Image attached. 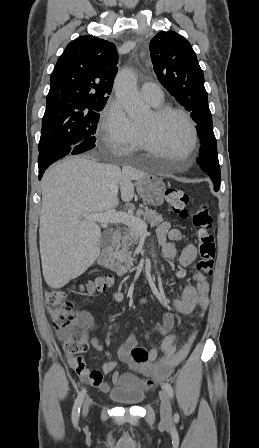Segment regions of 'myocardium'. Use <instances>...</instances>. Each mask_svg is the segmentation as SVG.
<instances>
[{"label": "myocardium", "instance_id": "f54148a6", "mask_svg": "<svg viewBox=\"0 0 259 448\" xmlns=\"http://www.w3.org/2000/svg\"><path fill=\"white\" fill-rule=\"evenodd\" d=\"M170 115H177L181 117L187 124L190 130L191 138L190 143L186 149V158L188 161L194 163L196 158L195 149L198 142V133L196 126L188 113H186L183 109L174 106L161 105L158 107H154L151 111V123L146 126L139 125L145 152L148 154H155L158 150L163 149L156 138V126L161 120ZM151 171H156V169Z\"/></svg>", "mask_w": 259, "mask_h": 448}]
</instances>
